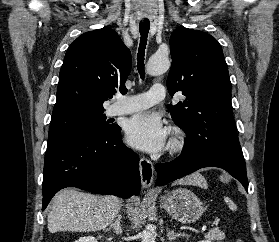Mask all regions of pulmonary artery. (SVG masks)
<instances>
[{
    "mask_svg": "<svg viewBox=\"0 0 279 242\" xmlns=\"http://www.w3.org/2000/svg\"><path fill=\"white\" fill-rule=\"evenodd\" d=\"M164 97V86L155 84L145 93L118 98L117 102L111 106L109 114L111 116H118L135 113L161 102Z\"/></svg>",
    "mask_w": 279,
    "mask_h": 242,
    "instance_id": "obj_1",
    "label": "pulmonary artery"
}]
</instances>
